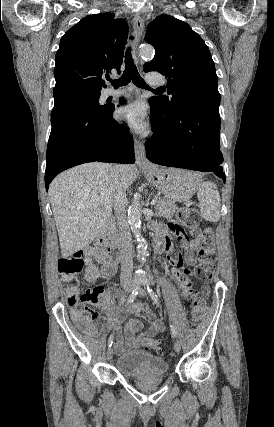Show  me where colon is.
Masks as SVG:
<instances>
[{"label":"colon","instance_id":"obj_1","mask_svg":"<svg viewBox=\"0 0 274 427\" xmlns=\"http://www.w3.org/2000/svg\"><path fill=\"white\" fill-rule=\"evenodd\" d=\"M177 219L178 224L174 226L177 235L184 232L185 228L195 232V240L198 242V248H215L213 231L210 226L201 230H196L200 221L199 214L194 208L183 206L178 209ZM182 243V238L180 239ZM187 248V247H186ZM83 269V257L80 251H76L71 255H65L59 258L58 272L62 276V287L64 295L69 307H75L79 303H95L104 295V288L100 285L89 286L79 283V275ZM199 294V290L197 293ZM201 298V297H200ZM200 298L196 301H191L190 310L195 314L196 318H207L208 310L205 305H200ZM197 325L196 323L194 324ZM141 350H150L155 352H165V348L160 341L151 340L144 337L140 343Z\"/></svg>","mask_w":274,"mask_h":427}]
</instances>
